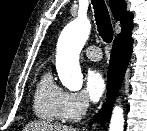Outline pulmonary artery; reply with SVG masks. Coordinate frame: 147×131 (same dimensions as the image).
Instances as JSON below:
<instances>
[{"mask_svg":"<svg viewBox=\"0 0 147 131\" xmlns=\"http://www.w3.org/2000/svg\"><path fill=\"white\" fill-rule=\"evenodd\" d=\"M85 55L92 61H99L102 57L101 50L97 46H89L85 50Z\"/></svg>","mask_w":147,"mask_h":131,"instance_id":"pulmonary-artery-1","label":"pulmonary artery"}]
</instances>
